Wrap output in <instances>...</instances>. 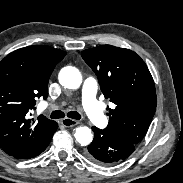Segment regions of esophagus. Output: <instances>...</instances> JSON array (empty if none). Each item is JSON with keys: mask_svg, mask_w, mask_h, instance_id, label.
Segmentation results:
<instances>
[{"mask_svg": "<svg viewBox=\"0 0 183 183\" xmlns=\"http://www.w3.org/2000/svg\"><path fill=\"white\" fill-rule=\"evenodd\" d=\"M61 124L64 126V127H74L76 125L79 124V121L77 120H74V119H70V118H65L61 121Z\"/></svg>", "mask_w": 183, "mask_h": 183, "instance_id": "1", "label": "esophagus"}]
</instances>
